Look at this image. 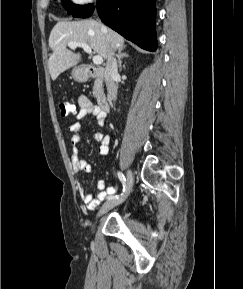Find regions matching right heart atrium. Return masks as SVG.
Instances as JSON below:
<instances>
[{
  "label": "right heart atrium",
  "mask_w": 243,
  "mask_h": 289,
  "mask_svg": "<svg viewBox=\"0 0 243 289\" xmlns=\"http://www.w3.org/2000/svg\"><path fill=\"white\" fill-rule=\"evenodd\" d=\"M95 0H72L73 3L78 4V5H86Z\"/></svg>",
  "instance_id": "obj_1"
}]
</instances>
